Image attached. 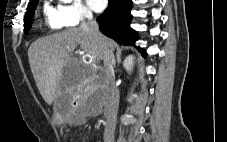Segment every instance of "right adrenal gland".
Segmentation results:
<instances>
[{"label":"right adrenal gland","instance_id":"obj_1","mask_svg":"<svg viewBox=\"0 0 227 142\" xmlns=\"http://www.w3.org/2000/svg\"><path fill=\"white\" fill-rule=\"evenodd\" d=\"M111 59H112V64H113V67H115L116 60H115V56H114L113 51L111 52Z\"/></svg>","mask_w":227,"mask_h":142}]
</instances>
